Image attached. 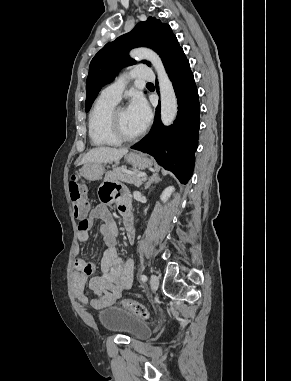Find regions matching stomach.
<instances>
[{
	"instance_id": "stomach-1",
	"label": "stomach",
	"mask_w": 291,
	"mask_h": 381,
	"mask_svg": "<svg viewBox=\"0 0 291 381\" xmlns=\"http://www.w3.org/2000/svg\"><path fill=\"white\" fill-rule=\"evenodd\" d=\"M125 159L134 168L138 169H144L152 165V162L149 158L136 152L127 154ZM104 170V165L101 163H89L83 166L79 174L89 181H96L102 177Z\"/></svg>"
}]
</instances>
